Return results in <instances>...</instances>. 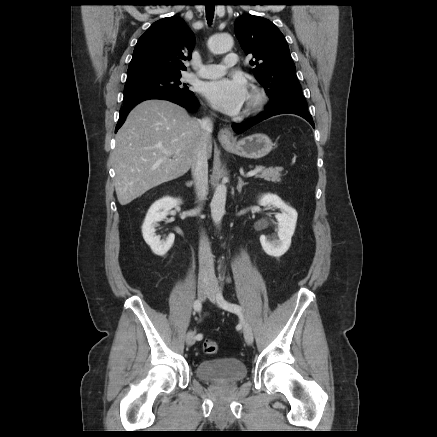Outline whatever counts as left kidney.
I'll use <instances>...</instances> for the list:
<instances>
[{"label": "left kidney", "mask_w": 437, "mask_h": 437, "mask_svg": "<svg viewBox=\"0 0 437 437\" xmlns=\"http://www.w3.org/2000/svg\"><path fill=\"white\" fill-rule=\"evenodd\" d=\"M260 206H273L280 209L275 218L278 221V239L270 240L264 235L260 236V243L263 250L270 256L280 257L286 253L291 245V238L294 234L297 212L294 208L285 204L281 198L275 194H264L258 201Z\"/></svg>", "instance_id": "left-kidney-1"}]
</instances>
